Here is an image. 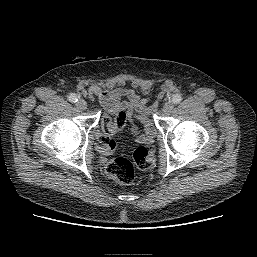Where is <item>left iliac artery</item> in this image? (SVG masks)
Masks as SVG:
<instances>
[{
  "instance_id": "left-iliac-artery-1",
  "label": "left iliac artery",
  "mask_w": 257,
  "mask_h": 257,
  "mask_svg": "<svg viewBox=\"0 0 257 257\" xmlns=\"http://www.w3.org/2000/svg\"><path fill=\"white\" fill-rule=\"evenodd\" d=\"M172 101L174 104H178L182 101V96L179 94H176L173 96Z\"/></svg>"
}]
</instances>
